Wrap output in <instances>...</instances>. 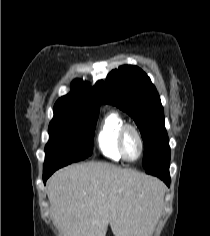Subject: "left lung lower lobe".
I'll list each match as a JSON object with an SVG mask.
<instances>
[{
	"label": "left lung lower lobe",
	"mask_w": 210,
	"mask_h": 236,
	"mask_svg": "<svg viewBox=\"0 0 210 236\" xmlns=\"http://www.w3.org/2000/svg\"><path fill=\"white\" fill-rule=\"evenodd\" d=\"M170 151L163 157L157 159L153 164L145 168L147 174L154 175L163 180L167 186H170L169 175Z\"/></svg>",
	"instance_id": "obj_1"
}]
</instances>
